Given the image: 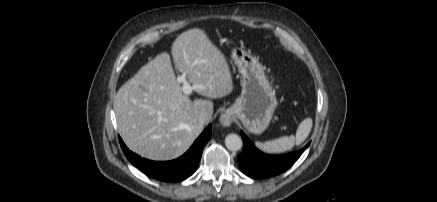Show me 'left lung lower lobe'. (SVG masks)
<instances>
[{"label":"left lung lower lobe","instance_id":"1","mask_svg":"<svg viewBox=\"0 0 437 202\" xmlns=\"http://www.w3.org/2000/svg\"><path fill=\"white\" fill-rule=\"evenodd\" d=\"M244 151L238 156L239 167L247 176L263 179L285 172L300 157L310 142L301 150L285 155H268L260 152L241 131Z\"/></svg>","mask_w":437,"mask_h":202}]
</instances>
